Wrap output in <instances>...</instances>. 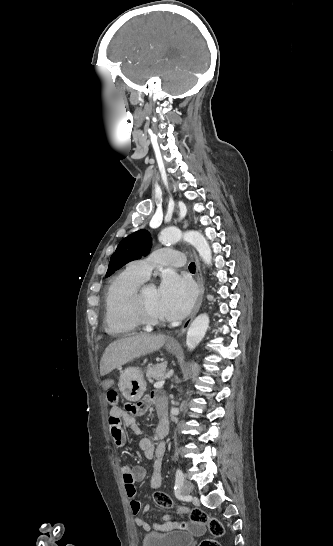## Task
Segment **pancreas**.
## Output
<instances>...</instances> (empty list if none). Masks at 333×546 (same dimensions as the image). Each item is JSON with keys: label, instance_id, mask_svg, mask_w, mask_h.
I'll use <instances>...</instances> for the list:
<instances>
[{"label": "pancreas", "instance_id": "cf45deb5", "mask_svg": "<svg viewBox=\"0 0 333 546\" xmlns=\"http://www.w3.org/2000/svg\"><path fill=\"white\" fill-rule=\"evenodd\" d=\"M166 368H167L166 362L151 366L146 370V377L149 380H152L155 378H161L166 374Z\"/></svg>", "mask_w": 333, "mask_h": 546}]
</instances>
